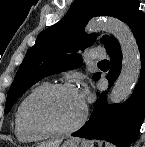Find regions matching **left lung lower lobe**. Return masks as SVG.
Here are the masks:
<instances>
[{"label":"left lung lower lobe","instance_id":"left-lung-lower-lobe-1","mask_svg":"<svg viewBox=\"0 0 145 147\" xmlns=\"http://www.w3.org/2000/svg\"><path fill=\"white\" fill-rule=\"evenodd\" d=\"M123 22L131 28L140 51L139 82L131 97L121 105H107V92L98 93L90 120L72 136L106 140L119 147H129L136 141L145 115V15L139 10L137 0H131L128 4ZM106 50L111 61V70L106 78L111 86L121 71L122 52L116 39L111 41Z\"/></svg>","mask_w":145,"mask_h":147}]
</instances>
